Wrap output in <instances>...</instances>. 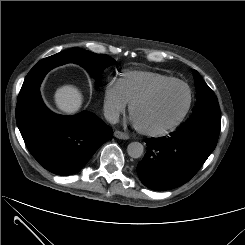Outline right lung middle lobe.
Instances as JSON below:
<instances>
[{"label": "right lung middle lobe", "instance_id": "dd1d6c3e", "mask_svg": "<svg viewBox=\"0 0 245 245\" xmlns=\"http://www.w3.org/2000/svg\"><path fill=\"white\" fill-rule=\"evenodd\" d=\"M50 57L54 62H56L58 66L69 62L79 64L90 71L96 79L99 78L101 72L106 67L112 65L115 62L113 58L107 55L96 54L77 47L57 53ZM29 73H31L32 76L37 73L35 66ZM32 94L34 93H31L30 82L23 83L18 96V103L26 101Z\"/></svg>", "mask_w": 245, "mask_h": 245}]
</instances>
